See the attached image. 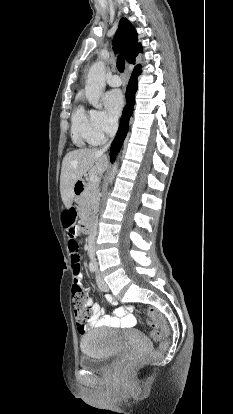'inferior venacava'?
Listing matches in <instances>:
<instances>
[{"instance_id":"obj_1","label":"inferior vena cava","mask_w":233,"mask_h":414,"mask_svg":"<svg viewBox=\"0 0 233 414\" xmlns=\"http://www.w3.org/2000/svg\"><path fill=\"white\" fill-rule=\"evenodd\" d=\"M117 128H118V121H117V119H112L111 121H110V131H109V134H110V137L113 139L114 138V136H115V134H116V131H117ZM110 144H111V141L108 143V144H106L102 149H100V152L101 153H104L109 147H110ZM95 225H97V220H96V222H95ZM89 238H88V248H89V252H88V257L89 258H92V261H94L95 262V253H96V241H97V238H96V230L95 229H92L91 230V232L89 233Z\"/></svg>"}]
</instances>
